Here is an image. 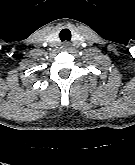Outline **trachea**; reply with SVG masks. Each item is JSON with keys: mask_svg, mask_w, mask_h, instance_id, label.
<instances>
[{"mask_svg": "<svg viewBox=\"0 0 135 165\" xmlns=\"http://www.w3.org/2000/svg\"><path fill=\"white\" fill-rule=\"evenodd\" d=\"M60 40L63 41H70L71 40V32L69 29L64 28L60 31L59 34Z\"/></svg>", "mask_w": 135, "mask_h": 165, "instance_id": "3493384b", "label": "trachea"}]
</instances>
